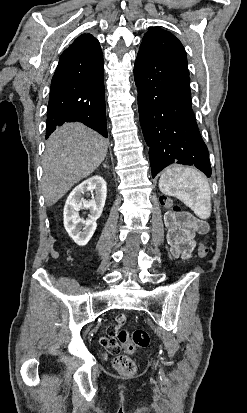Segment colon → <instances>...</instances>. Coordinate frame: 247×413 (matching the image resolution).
<instances>
[{"label":"colon","mask_w":247,"mask_h":413,"mask_svg":"<svg viewBox=\"0 0 247 413\" xmlns=\"http://www.w3.org/2000/svg\"><path fill=\"white\" fill-rule=\"evenodd\" d=\"M162 204H166L169 210H175L176 215L182 214V208L173 199L163 197ZM196 249L201 257H205L209 252V249L201 242L196 245ZM116 339L122 344L123 354L121 353L120 357L113 358L114 368L122 374L135 373L136 363L129 357L134 351L133 344L135 345L134 353L137 352V347H147L150 343L149 333L145 330H134L133 332L131 330V332L118 333Z\"/></svg>","instance_id":"5ec220e1"}]
</instances>
